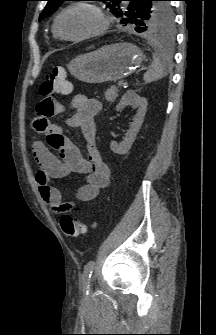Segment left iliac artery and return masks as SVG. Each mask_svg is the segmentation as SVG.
<instances>
[{"label":"left iliac artery","instance_id":"44dca946","mask_svg":"<svg viewBox=\"0 0 216 335\" xmlns=\"http://www.w3.org/2000/svg\"><path fill=\"white\" fill-rule=\"evenodd\" d=\"M95 262L89 261L84 268V273H83V287L85 290V293L88 295L89 294V284H90V279L93 273Z\"/></svg>","mask_w":216,"mask_h":335}]
</instances>
